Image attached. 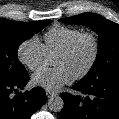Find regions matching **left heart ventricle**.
<instances>
[{"mask_svg": "<svg viewBox=\"0 0 119 119\" xmlns=\"http://www.w3.org/2000/svg\"><path fill=\"white\" fill-rule=\"evenodd\" d=\"M92 50V42L88 38H83L70 54L56 56L54 65L57 67H65L75 76L88 64L92 56Z\"/></svg>", "mask_w": 119, "mask_h": 119, "instance_id": "obj_1", "label": "left heart ventricle"}]
</instances>
